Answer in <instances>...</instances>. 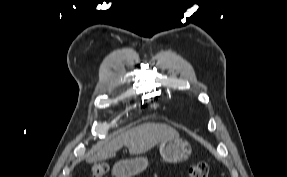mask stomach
I'll use <instances>...</instances> for the list:
<instances>
[{"instance_id": "1", "label": "stomach", "mask_w": 287, "mask_h": 177, "mask_svg": "<svg viewBox=\"0 0 287 177\" xmlns=\"http://www.w3.org/2000/svg\"><path fill=\"white\" fill-rule=\"evenodd\" d=\"M191 151L190 144L179 138L166 139L160 143V154L169 163L186 161ZM147 166L148 160L144 157L122 160L113 166V174L115 177H133L143 172Z\"/></svg>"}]
</instances>
